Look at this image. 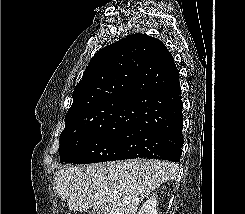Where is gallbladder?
Wrapping results in <instances>:
<instances>
[{"label":"gallbladder","instance_id":"gallbladder-1","mask_svg":"<svg viewBox=\"0 0 245 214\" xmlns=\"http://www.w3.org/2000/svg\"><path fill=\"white\" fill-rule=\"evenodd\" d=\"M88 214H105V211L104 210H100V209H93V210H90L88 212Z\"/></svg>","mask_w":245,"mask_h":214}]
</instances>
